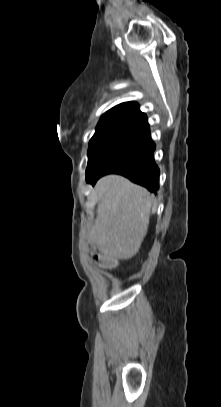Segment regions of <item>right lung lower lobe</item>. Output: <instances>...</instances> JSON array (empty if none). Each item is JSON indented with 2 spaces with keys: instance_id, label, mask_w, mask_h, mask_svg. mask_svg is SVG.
<instances>
[{
  "instance_id": "obj_1",
  "label": "right lung lower lobe",
  "mask_w": 221,
  "mask_h": 407,
  "mask_svg": "<svg viewBox=\"0 0 221 407\" xmlns=\"http://www.w3.org/2000/svg\"><path fill=\"white\" fill-rule=\"evenodd\" d=\"M154 150L149 124H146L130 136L87 182L94 185L101 176L116 173L156 193L160 171L154 161Z\"/></svg>"
}]
</instances>
